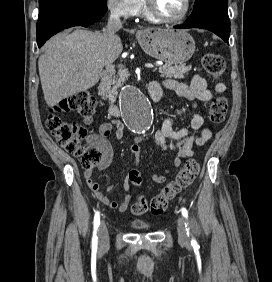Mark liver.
Instances as JSON below:
<instances>
[{
  "label": "liver",
  "instance_id": "obj_1",
  "mask_svg": "<svg viewBox=\"0 0 272 282\" xmlns=\"http://www.w3.org/2000/svg\"><path fill=\"white\" fill-rule=\"evenodd\" d=\"M123 51L119 36L75 29L52 37L39 57L38 68L48 106L93 87L104 66Z\"/></svg>",
  "mask_w": 272,
  "mask_h": 282
}]
</instances>
